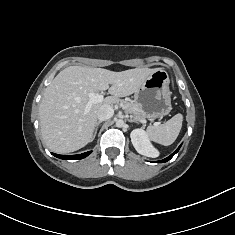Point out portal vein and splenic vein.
Returning <instances> with one entry per match:
<instances>
[{
  "instance_id": "18ae733b",
  "label": "portal vein and splenic vein",
  "mask_w": 235,
  "mask_h": 235,
  "mask_svg": "<svg viewBox=\"0 0 235 235\" xmlns=\"http://www.w3.org/2000/svg\"><path fill=\"white\" fill-rule=\"evenodd\" d=\"M88 97H89V102L87 104V107H86V110L85 112H88L89 109H90V106L93 104V103H100L103 101V95L101 94H97V93H88ZM143 122V121H141Z\"/></svg>"
}]
</instances>
